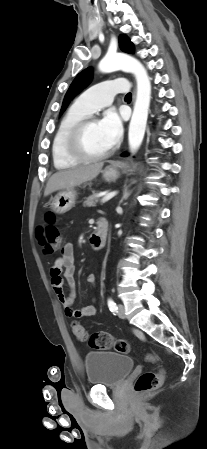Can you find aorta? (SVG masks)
Returning a JSON list of instances; mask_svg holds the SVG:
<instances>
[{"label": "aorta", "mask_w": 207, "mask_h": 449, "mask_svg": "<svg viewBox=\"0 0 207 449\" xmlns=\"http://www.w3.org/2000/svg\"><path fill=\"white\" fill-rule=\"evenodd\" d=\"M99 70L104 73L123 70L133 73L136 78V101L128 132L130 149L135 151L144 138L151 100V82L147 71L137 59L121 53L106 55L99 63Z\"/></svg>", "instance_id": "762f6f07"}]
</instances>
